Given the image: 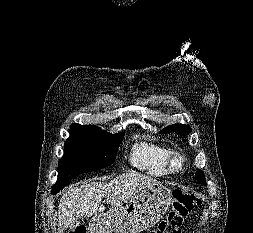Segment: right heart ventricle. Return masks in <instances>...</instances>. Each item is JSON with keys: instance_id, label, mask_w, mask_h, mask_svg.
I'll use <instances>...</instances> for the list:
<instances>
[{"instance_id": "right-heart-ventricle-1", "label": "right heart ventricle", "mask_w": 253, "mask_h": 233, "mask_svg": "<svg viewBox=\"0 0 253 233\" xmlns=\"http://www.w3.org/2000/svg\"><path fill=\"white\" fill-rule=\"evenodd\" d=\"M170 150L152 140L140 139L135 141L128 153L131 167L151 176H163L168 172L167 160Z\"/></svg>"}]
</instances>
